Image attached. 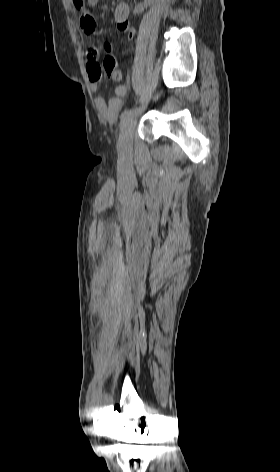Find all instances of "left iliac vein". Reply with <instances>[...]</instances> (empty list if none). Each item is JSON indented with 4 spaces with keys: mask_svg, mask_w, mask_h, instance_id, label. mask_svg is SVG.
<instances>
[{
    "mask_svg": "<svg viewBox=\"0 0 280 472\" xmlns=\"http://www.w3.org/2000/svg\"><path fill=\"white\" fill-rule=\"evenodd\" d=\"M135 125L136 119L131 118L123 129L122 136L118 141V147L123 153H129L132 150Z\"/></svg>",
    "mask_w": 280,
    "mask_h": 472,
    "instance_id": "4c4485c4",
    "label": "left iliac vein"
}]
</instances>
